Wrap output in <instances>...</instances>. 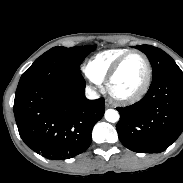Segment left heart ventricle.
I'll list each match as a JSON object with an SVG mask.
<instances>
[{"instance_id": "left-heart-ventricle-1", "label": "left heart ventricle", "mask_w": 183, "mask_h": 183, "mask_svg": "<svg viewBox=\"0 0 183 183\" xmlns=\"http://www.w3.org/2000/svg\"><path fill=\"white\" fill-rule=\"evenodd\" d=\"M146 76V67L138 54L126 58L111 83L114 93L127 96L135 93L142 86Z\"/></svg>"}]
</instances>
